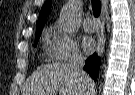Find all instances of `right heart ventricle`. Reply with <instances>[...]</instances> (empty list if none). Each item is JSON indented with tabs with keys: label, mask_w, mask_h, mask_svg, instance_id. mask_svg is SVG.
<instances>
[{
	"label": "right heart ventricle",
	"mask_w": 135,
	"mask_h": 95,
	"mask_svg": "<svg viewBox=\"0 0 135 95\" xmlns=\"http://www.w3.org/2000/svg\"><path fill=\"white\" fill-rule=\"evenodd\" d=\"M50 34H51V29H46L45 30V32H44V36H45V38H49V36H50Z\"/></svg>",
	"instance_id": "e07e8e85"
}]
</instances>
